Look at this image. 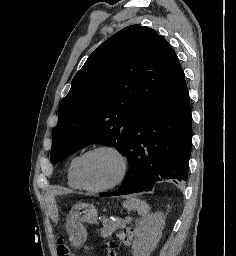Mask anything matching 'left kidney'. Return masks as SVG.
<instances>
[{"label": "left kidney", "instance_id": "obj_1", "mask_svg": "<svg viewBox=\"0 0 236 256\" xmlns=\"http://www.w3.org/2000/svg\"><path fill=\"white\" fill-rule=\"evenodd\" d=\"M163 228V212L146 214V218L138 224L135 230V240L132 244L133 256H150L162 236Z\"/></svg>", "mask_w": 236, "mask_h": 256}]
</instances>
